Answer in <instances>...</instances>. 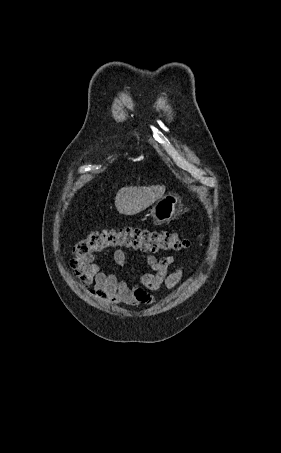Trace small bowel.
Returning <instances> with one entry per match:
<instances>
[{"mask_svg":"<svg viewBox=\"0 0 281 453\" xmlns=\"http://www.w3.org/2000/svg\"><path fill=\"white\" fill-rule=\"evenodd\" d=\"M112 261L117 266H124L128 259L122 250H116L112 255ZM144 262L149 271L140 277L143 287L128 285L91 261L74 259L71 262V270L83 290L107 305H147L155 299L152 291L163 287L174 288L185 276L181 269L168 270V267L175 262L173 256L158 259L154 255H147L144 257Z\"/></svg>","mask_w":281,"mask_h":453,"instance_id":"1","label":"small bowel"}]
</instances>
